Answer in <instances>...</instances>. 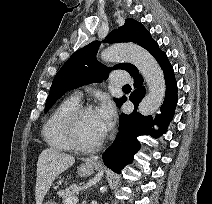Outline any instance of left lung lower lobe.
I'll list each match as a JSON object with an SVG mask.
<instances>
[{
  "label": "left lung lower lobe",
  "instance_id": "left-lung-lower-lobe-1",
  "mask_svg": "<svg viewBox=\"0 0 212 204\" xmlns=\"http://www.w3.org/2000/svg\"><path fill=\"white\" fill-rule=\"evenodd\" d=\"M153 56L164 71L166 80V96L161 107L162 113L153 120L152 116H143L136 112L139 102L145 96V87L142 86L143 79L138 72L132 75L136 89L131 93L129 99L134 103L135 110L130 115H121L119 134L114 143L102 155L105 165L117 173H120L121 169L133 160L134 154L139 150L140 143L137 137L148 134L159 137L166 131L174 115L177 103V83L173 68L162 50H159ZM125 101L126 98L124 97L118 106L120 107ZM155 124L160 127L158 131L152 129V125Z\"/></svg>",
  "mask_w": 212,
  "mask_h": 204
}]
</instances>
